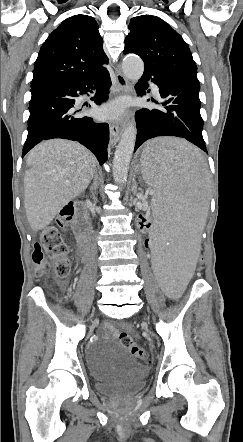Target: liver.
<instances>
[{
  "mask_svg": "<svg viewBox=\"0 0 243 442\" xmlns=\"http://www.w3.org/2000/svg\"><path fill=\"white\" fill-rule=\"evenodd\" d=\"M27 165L24 207L31 229L37 232L87 188L96 170V158L77 142L51 139L30 151Z\"/></svg>",
  "mask_w": 243,
  "mask_h": 442,
  "instance_id": "6515ba94",
  "label": "liver"
}]
</instances>
